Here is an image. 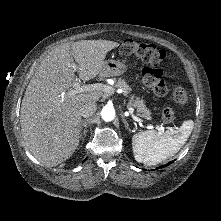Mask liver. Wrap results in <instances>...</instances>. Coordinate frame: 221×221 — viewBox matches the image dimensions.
<instances>
[{
    "mask_svg": "<svg viewBox=\"0 0 221 221\" xmlns=\"http://www.w3.org/2000/svg\"><path fill=\"white\" fill-rule=\"evenodd\" d=\"M118 46L101 39L64 43L41 61L26 88L20 111L25 145L38 161L57 166L73 155L80 139V110L102 96L99 90L72 94L75 71L84 81L95 78L107 53Z\"/></svg>",
    "mask_w": 221,
    "mask_h": 221,
    "instance_id": "1",
    "label": "liver"
}]
</instances>
